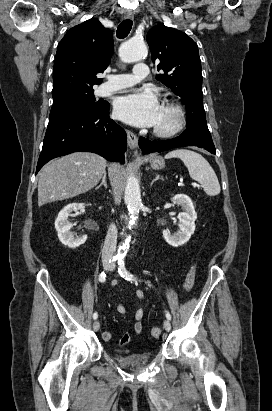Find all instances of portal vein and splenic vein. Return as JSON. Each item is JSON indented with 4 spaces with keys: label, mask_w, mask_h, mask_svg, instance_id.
I'll use <instances>...</instances> for the list:
<instances>
[{
    "label": "portal vein and splenic vein",
    "mask_w": 272,
    "mask_h": 411,
    "mask_svg": "<svg viewBox=\"0 0 272 411\" xmlns=\"http://www.w3.org/2000/svg\"><path fill=\"white\" fill-rule=\"evenodd\" d=\"M192 185H197V183H192Z\"/></svg>",
    "instance_id": "portal-vein-and-splenic-vein-1"
}]
</instances>
